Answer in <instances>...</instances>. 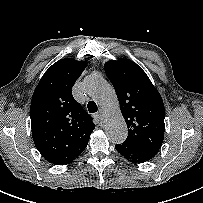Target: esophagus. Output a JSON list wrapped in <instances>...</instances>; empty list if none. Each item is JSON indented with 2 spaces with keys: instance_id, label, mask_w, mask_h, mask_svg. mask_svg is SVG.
Listing matches in <instances>:
<instances>
[{
  "instance_id": "esophagus-1",
  "label": "esophagus",
  "mask_w": 203,
  "mask_h": 203,
  "mask_svg": "<svg viewBox=\"0 0 203 203\" xmlns=\"http://www.w3.org/2000/svg\"><path fill=\"white\" fill-rule=\"evenodd\" d=\"M97 118L100 120L104 119V111L103 110H99L98 113L96 114Z\"/></svg>"
}]
</instances>
